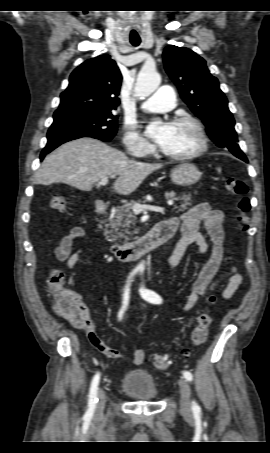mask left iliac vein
Listing matches in <instances>:
<instances>
[{
	"mask_svg": "<svg viewBox=\"0 0 270 453\" xmlns=\"http://www.w3.org/2000/svg\"><path fill=\"white\" fill-rule=\"evenodd\" d=\"M179 391H180V412L183 415H190L191 413V401H190V387L185 379H178Z\"/></svg>",
	"mask_w": 270,
	"mask_h": 453,
	"instance_id": "4c4485c4",
	"label": "left iliac vein"
}]
</instances>
